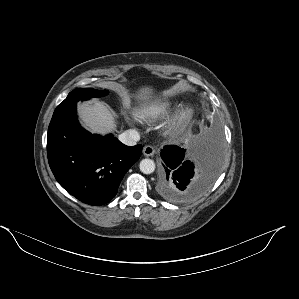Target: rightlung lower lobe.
Listing matches in <instances>:
<instances>
[{
    "label": "right lung lower lobe",
    "instance_id": "98d812e1",
    "mask_svg": "<svg viewBox=\"0 0 299 299\" xmlns=\"http://www.w3.org/2000/svg\"><path fill=\"white\" fill-rule=\"evenodd\" d=\"M142 146L128 147L113 135L87 132L78 123L76 104L53 114L47 135V156L59 184L90 205H103L136 163Z\"/></svg>",
    "mask_w": 299,
    "mask_h": 299
}]
</instances>
